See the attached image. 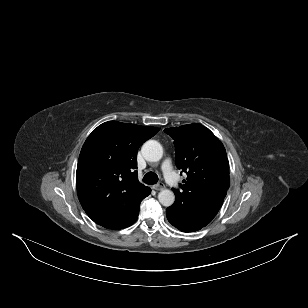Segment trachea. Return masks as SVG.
Instances as JSON below:
<instances>
[{
	"instance_id": "1",
	"label": "trachea",
	"mask_w": 308,
	"mask_h": 308,
	"mask_svg": "<svg viewBox=\"0 0 308 308\" xmlns=\"http://www.w3.org/2000/svg\"><path fill=\"white\" fill-rule=\"evenodd\" d=\"M143 181L146 184L153 185L158 182V176L154 172H148L143 177Z\"/></svg>"
}]
</instances>
